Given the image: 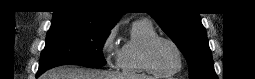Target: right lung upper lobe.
Here are the masks:
<instances>
[{
    "label": "right lung upper lobe",
    "mask_w": 255,
    "mask_h": 79,
    "mask_svg": "<svg viewBox=\"0 0 255 79\" xmlns=\"http://www.w3.org/2000/svg\"><path fill=\"white\" fill-rule=\"evenodd\" d=\"M54 12L52 25L68 24L81 27L111 29L123 13L112 10L102 0H69Z\"/></svg>",
    "instance_id": "obj_1"
}]
</instances>
